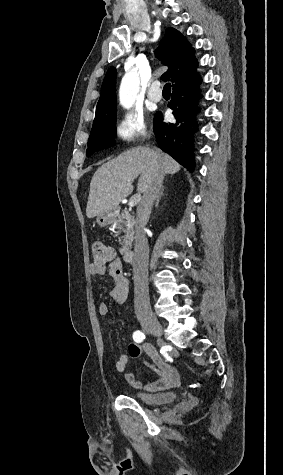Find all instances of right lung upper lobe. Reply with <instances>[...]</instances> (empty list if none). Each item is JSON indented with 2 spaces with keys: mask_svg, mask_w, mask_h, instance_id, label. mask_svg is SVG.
I'll return each mask as SVG.
<instances>
[{
  "mask_svg": "<svg viewBox=\"0 0 283 475\" xmlns=\"http://www.w3.org/2000/svg\"><path fill=\"white\" fill-rule=\"evenodd\" d=\"M155 56L169 67L162 78L170 80L172 83L181 76L194 71L198 65L194 58V49L185 37L174 28L166 30L164 38L155 51ZM115 78L116 70L111 67L103 80L97 107L116 105Z\"/></svg>",
  "mask_w": 283,
  "mask_h": 475,
  "instance_id": "right-lung-upper-lobe-1",
  "label": "right lung upper lobe"
}]
</instances>
